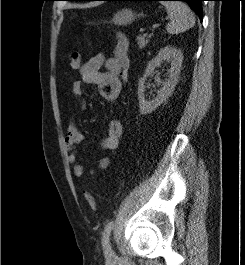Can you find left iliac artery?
<instances>
[{
    "instance_id": "obj_1",
    "label": "left iliac artery",
    "mask_w": 245,
    "mask_h": 265,
    "mask_svg": "<svg viewBox=\"0 0 245 265\" xmlns=\"http://www.w3.org/2000/svg\"><path fill=\"white\" fill-rule=\"evenodd\" d=\"M113 227H114V222L113 221L108 222L104 228L103 238H102V245L104 252L109 256L112 255L113 253L109 242V236Z\"/></svg>"
}]
</instances>
